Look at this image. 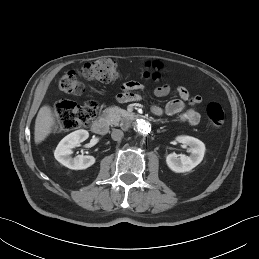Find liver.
I'll list each match as a JSON object with an SVG mask.
<instances>
[{
    "label": "liver",
    "mask_w": 259,
    "mask_h": 259,
    "mask_svg": "<svg viewBox=\"0 0 259 259\" xmlns=\"http://www.w3.org/2000/svg\"><path fill=\"white\" fill-rule=\"evenodd\" d=\"M53 125L54 117L51 108L48 105L42 106L35 121L34 141L36 144L41 143L49 136Z\"/></svg>",
    "instance_id": "1"
}]
</instances>
